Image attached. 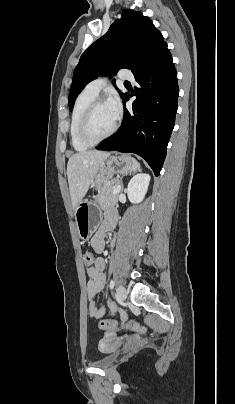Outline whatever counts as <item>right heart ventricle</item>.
Listing matches in <instances>:
<instances>
[{
	"label": "right heart ventricle",
	"instance_id": "1",
	"mask_svg": "<svg viewBox=\"0 0 235 404\" xmlns=\"http://www.w3.org/2000/svg\"><path fill=\"white\" fill-rule=\"evenodd\" d=\"M95 98V95L83 90L74 103L70 117L69 136L71 144L76 151H85L90 147V145L81 140L79 136V126L85 110Z\"/></svg>",
	"mask_w": 235,
	"mask_h": 404
}]
</instances>
